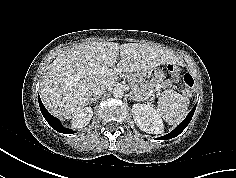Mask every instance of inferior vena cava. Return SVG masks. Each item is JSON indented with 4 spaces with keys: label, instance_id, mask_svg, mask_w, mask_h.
Masks as SVG:
<instances>
[{
    "label": "inferior vena cava",
    "instance_id": "obj_1",
    "mask_svg": "<svg viewBox=\"0 0 236 178\" xmlns=\"http://www.w3.org/2000/svg\"><path fill=\"white\" fill-rule=\"evenodd\" d=\"M111 86V82H105L104 84H101V85H96L92 88V94L95 96V97H98L100 96L102 93L105 92V90L107 88H109Z\"/></svg>",
    "mask_w": 236,
    "mask_h": 178
}]
</instances>
